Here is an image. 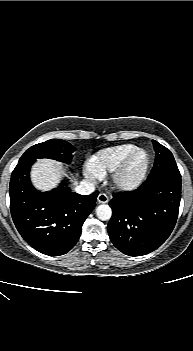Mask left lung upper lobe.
Wrapping results in <instances>:
<instances>
[{
  "label": "left lung upper lobe",
  "mask_w": 193,
  "mask_h": 351,
  "mask_svg": "<svg viewBox=\"0 0 193 351\" xmlns=\"http://www.w3.org/2000/svg\"><path fill=\"white\" fill-rule=\"evenodd\" d=\"M152 143L156 158L148 178L155 177L167 171L179 170L172 152L156 140H152Z\"/></svg>",
  "instance_id": "left-lung-upper-lobe-1"
}]
</instances>
